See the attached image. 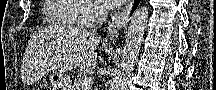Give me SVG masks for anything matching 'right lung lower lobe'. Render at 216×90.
<instances>
[{"mask_svg":"<svg viewBox=\"0 0 216 90\" xmlns=\"http://www.w3.org/2000/svg\"><path fill=\"white\" fill-rule=\"evenodd\" d=\"M139 2H140L139 0L135 1V7L134 8H136V6L139 4Z\"/></svg>","mask_w":216,"mask_h":90,"instance_id":"obj_1","label":"right lung lower lobe"}]
</instances>
